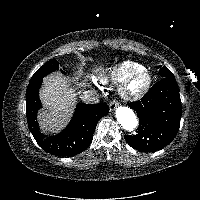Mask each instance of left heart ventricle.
<instances>
[{
  "mask_svg": "<svg viewBox=\"0 0 200 200\" xmlns=\"http://www.w3.org/2000/svg\"><path fill=\"white\" fill-rule=\"evenodd\" d=\"M145 81H146V77H145V76L142 75V76L137 77V78L132 82V84H131V89H132L133 91L139 90V89L144 85Z\"/></svg>",
  "mask_w": 200,
  "mask_h": 200,
  "instance_id": "left-heart-ventricle-1",
  "label": "left heart ventricle"
}]
</instances>
